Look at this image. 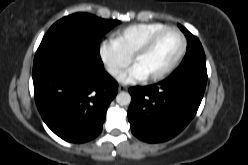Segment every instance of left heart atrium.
<instances>
[{
  "instance_id": "1",
  "label": "left heart atrium",
  "mask_w": 248,
  "mask_h": 165,
  "mask_svg": "<svg viewBox=\"0 0 248 165\" xmlns=\"http://www.w3.org/2000/svg\"><path fill=\"white\" fill-rule=\"evenodd\" d=\"M146 78H148V75L144 69L140 65L135 64L120 77V81L123 83H132L135 81L145 80Z\"/></svg>"
}]
</instances>
